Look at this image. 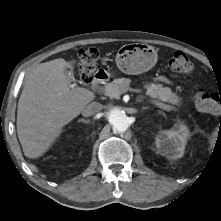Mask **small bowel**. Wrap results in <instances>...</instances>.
<instances>
[{
  "label": "small bowel",
  "instance_id": "small-bowel-1",
  "mask_svg": "<svg viewBox=\"0 0 221 221\" xmlns=\"http://www.w3.org/2000/svg\"><path fill=\"white\" fill-rule=\"evenodd\" d=\"M157 80L160 82H164V83H170V80L166 78L165 76H159Z\"/></svg>",
  "mask_w": 221,
  "mask_h": 221
}]
</instances>
